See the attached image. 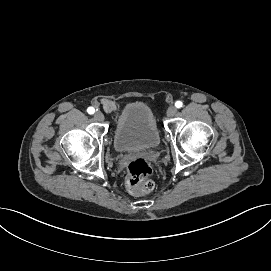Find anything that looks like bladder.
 Here are the masks:
<instances>
[{"label":"bladder","mask_w":271,"mask_h":271,"mask_svg":"<svg viewBox=\"0 0 271 271\" xmlns=\"http://www.w3.org/2000/svg\"><path fill=\"white\" fill-rule=\"evenodd\" d=\"M159 143L160 133L151 109L143 103L127 105L113 133L115 151L151 150Z\"/></svg>","instance_id":"bladder-1"}]
</instances>
